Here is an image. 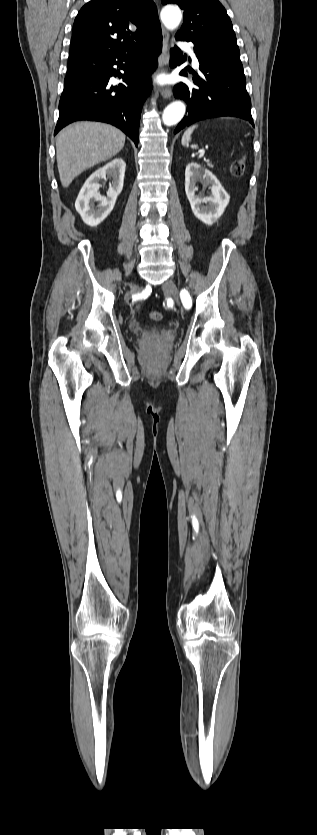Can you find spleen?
<instances>
[{
  "instance_id": "1",
  "label": "spleen",
  "mask_w": 317,
  "mask_h": 835,
  "mask_svg": "<svg viewBox=\"0 0 317 835\" xmlns=\"http://www.w3.org/2000/svg\"><path fill=\"white\" fill-rule=\"evenodd\" d=\"M196 127H197V125H193V126L189 127L184 132V134L182 136V140H181L183 146H188L189 145V142L191 141V135H192V133H193V131Z\"/></svg>"
}]
</instances>
